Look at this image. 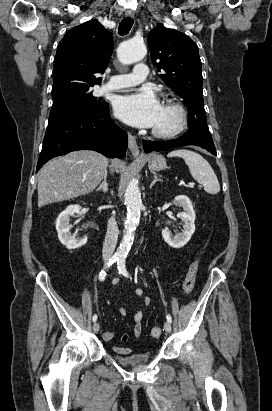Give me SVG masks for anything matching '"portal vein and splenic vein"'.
<instances>
[{"mask_svg":"<svg viewBox=\"0 0 272 411\" xmlns=\"http://www.w3.org/2000/svg\"><path fill=\"white\" fill-rule=\"evenodd\" d=\"M188 185L193 186V185H195V183L190 182V183H188Z\"/></svg>","mask_w":272,"mask_h":411,"instance_id":"1","label":"portal vein and splenic vein"}]
</instances>
